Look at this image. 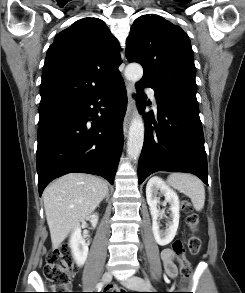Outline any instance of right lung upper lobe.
Listing matches in <instances>:
<instances>
[{"label": "right lung upper lobe", "instance_id": "1", "mask_svg": "<svg viewBox=\"0 0 245 293\" xmlns=\"http://www.w3.org/2000/svg\"><path fill=\"white\" fill-rule=\"evenodd\" d=\"M118 47L98 18H83L58 33L47 51L39 108L83 101L121 76Z\"/></svg>", "mask_w": 245, "mask_h": 293}]
</instances>
